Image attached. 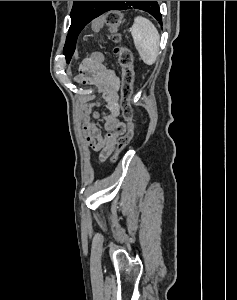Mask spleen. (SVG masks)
<instances>
[{
	"mask_svg": "<svg viewBox=\"0 0 237 300\" xmlns=\"http://www.w3.org/2000/svg\"><path fill=\"white\" fill-rule=\"evenodd\" d=\"M130 31L142 61L146 65H153L158 57L160 43L156 27L145 17H136Z\"/></svg>",
	"mask_w": 237,
	"mask_h": 300,
	"instance_id": "spleen-1",
	"label": "spleen"
}]
</instances>
